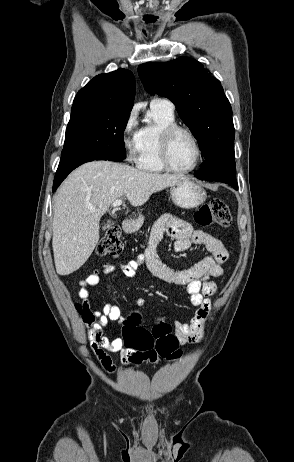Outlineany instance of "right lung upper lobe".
<instances>
[{
  "label": "right lung upper lobe",
  "instance_id": "obj_1",
  "mask_svg": "<svg viewBox=\"0 0 294 462\" xmlns=\"http://www.w3.org/2000/svg\"><path fill=\"white\" fill-rule=\"evenodd\" d=\"M135 88V78L129 70L99 74L77 93L72 109L107 108L130 112Z\"/></svg>",
  "mask_w": 294,
  "mask_h": 462
}]
</instances>
